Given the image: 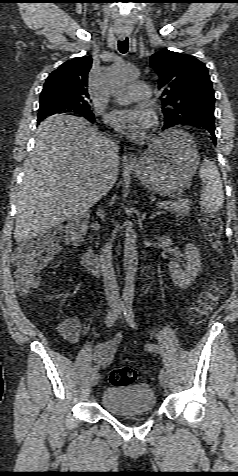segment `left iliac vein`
I'll use <instances>...</instances> for the list:
<instances>
[{
  "mask_svg": "<svg viewBox=\"0 0 238 476\" xmlns=\"http://www.w3.org/2000/svg\"><path fill=\"white\" fill-rule=\"evenodd\" d=\"M159 382L163 388H167L168 376H167V372L164 369H161L159 372Z\"/></svg>",
  "mask_w": 238,
  "mask_h": 476,
  "instance_id": "obj_1",
  "label": "left iliac vein"
}]
</instances>
